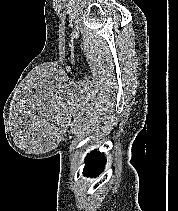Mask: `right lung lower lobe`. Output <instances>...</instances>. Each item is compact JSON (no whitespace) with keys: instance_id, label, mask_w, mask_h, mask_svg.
I'll return each instance as SVG.
<instances>
[{"instance_id":"98d812e1","label":"right lung lower lobe","mask_w":178,"mask_h":211,"mask_svg":"<svg viewBox=\"0 0 178 211\" xmlns=\"http://www.w3.org/2000/svg\"><path fill=\"white\" fill-rule=\"evenodd\" d=\"M104 165H105L104 155L96 150L92 151L87 155L86 165L83 173L85 176L96 177L103 171Z\"/></svg>"}]
</instances>
